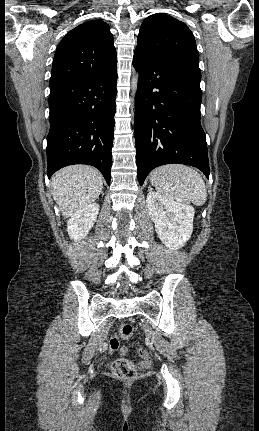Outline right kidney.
<instances>
[{
  "instance_id": "right-kidney-1",
  "label": "right kidney",
  "mask_w": 259,
  "mask_h": 431,
  "mask_svg": "<svg viewBox=\"0 0 259 431\" xmlns=\"http://www.w3.org/2000/svg\"><path fill=\"white\" fill-rule=\"evenodd\" d=\"M99 213L97 203L78 210L67 222V232L71 239L78 241L83 239L93 227Z\"/></svg>"
}]
</instances>
